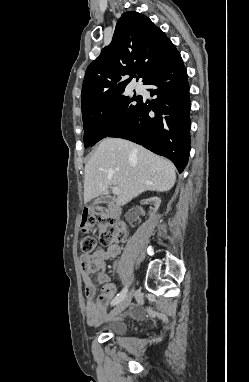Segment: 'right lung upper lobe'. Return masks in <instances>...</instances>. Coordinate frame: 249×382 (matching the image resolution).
<instances>
[{"label": "right lung upper lobe", "instance_id": "1", "mask_svg": "<svg viewBox=\"0 0 249 382\" xmlns=\"http://www.w3.org/2000/svg\"><path fill=\"white\" fill-rule=\"evenodd\" d=\"M180 55L165 33L145 15L126 12L116 24L112 43L86 70L82 86V108L96 100L123 95L126 85L139 74L145 83L157 68ZM125 75L129 79L121 82Z\"/></svg>", "mask_w": 249, "mask_h": 382}]
</instances>
